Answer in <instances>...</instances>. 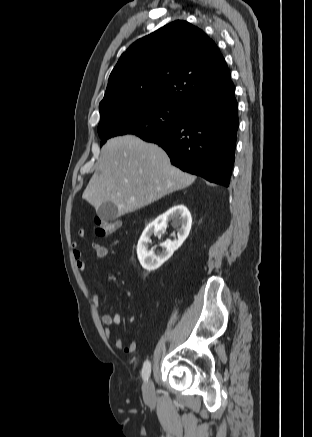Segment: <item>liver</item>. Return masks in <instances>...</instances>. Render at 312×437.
<instances>
[{"label": "liver", "instance_id": "obj_1", "mask_svg": "<svg viewBox=\"0 0 312 437\" xmlns=\"http://www.w3.org/2000/svg\"><path fill=\"white\" fill-rule=\"evenodd\" d=\"M195 176L174 167L159 146L125 135L102 147L96 172L82 198L96 210L104 202L118 208V216L134 212L194 182Z\"/></svg>", "mask_w": 312, "mask_h": 437}]
</instances>
